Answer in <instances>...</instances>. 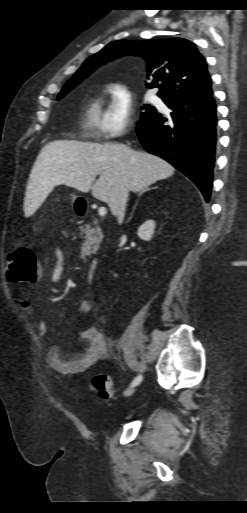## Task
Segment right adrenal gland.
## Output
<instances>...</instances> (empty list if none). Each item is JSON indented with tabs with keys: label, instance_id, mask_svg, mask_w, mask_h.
I'll use <instances>...</instances> for the list:
<instances>
[{
	"label": "right adrenal gland",
	"instance_id": "obj_1",
	"mask_svg": "<svg viewBox=\"0 0 247 513\" xmlns=\"http://www.w3.org/2000/svg\"><path fill=\"white\" fill-rule=\"evenodd\" d=\"M149 190H151V189H146V190H142V191H140V192H139V197H141V196H142V194H144L145 192H147V191H149ZM137 203H138V200L136 201V204H135V206H134L133 210H135V208H136V206H137Z\"/></svg>",
	"mask_w": 247,
	"mask_h": 513
}]
</instances>
